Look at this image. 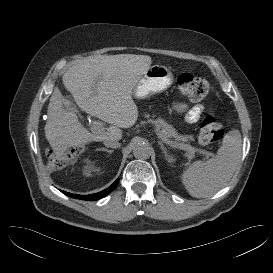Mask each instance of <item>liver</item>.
I'll use <instances>...</instances> for the list:
<instances>
[{"label": "liver", "mask_w": 273, "mask_h": 273, "mask_svg": "<svg viewBox=\"0 0 273 273\" xmlns=\"http://www.w3.org/2000/svg\"><path fill=\"white\" fill-rule=\"evenodd\" d=\"M151 63L148 55L117 54L90 56L70 67L62 76L65 88L81 110L110 126L105 131L90 133L76 113L66 108L71 102L55 88L44 127L55 155L62 158L69 148L92 141L121 139V128L133 126L138 119L133 89Z\"/></svg>", "instance_id": "1"}]
</instances>
